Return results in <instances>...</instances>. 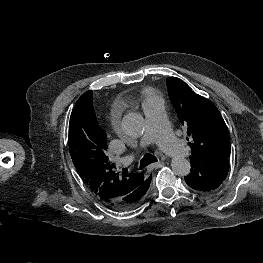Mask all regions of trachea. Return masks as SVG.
I'll return each instance as SVG.
<instances>
[{
	"label": "trachea",
	"mask_w": 263,
	"mask_h": 263,
	"mask_svg": "<svg viewBox=\"0 0 263 263\" xmlns=\"http://www.w3.org/2000/svg\"><path fill=\"white\" fill-rule=\"evenodd\" d=\"M154 162H157V158L154 155H152V154H145L143 156V158L141 159V161H140L139 168L143 169L146 166H148L149 164L154 163ZM123 171L127 172V169L124 168Z\"/></svg>",
	"instance_id": "3493384b"
}]
</instances>
